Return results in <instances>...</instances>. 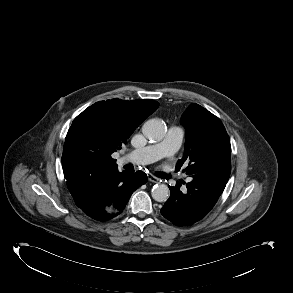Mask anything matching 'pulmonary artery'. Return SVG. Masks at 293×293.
<instances>
[{
	"mask_svg": "<svg viewBox=\"0 0 293 293\" xmlns=\"http://www.w3.org/2000/svg\"><path fill=\"white\" fill-rule=\"evenodd\" d=\"M183 137L184 130L181 127L171 126L163 141L134 150L125 159L134 164H149L164 157L171 158L179 150Z\"/></svg>",
	"mask_w": 293,
	"mask_h": 293,
	"instance_id": "pulmonary-artery-1",
	"label": "pulmonary artery"
}]
</instances>
